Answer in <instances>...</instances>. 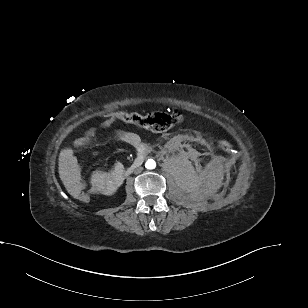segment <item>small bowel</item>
Here are the masks:
<instances>
[{
  "mask_svg": "<svg viewBox=\"0 0 308 308\" xmlns=\"http://www.w3.org/2000/svg\"><path fill=\"white\" fill-rule=\"evenodd\" d=\"M115 119L116 115L112 114L103 121L102 126L109 127ZM93 134L94 130L90 129L84 136L75 141V146L88 144L92 140ZM116 137L120 141L138 149L142 148L145 144L138 134L131 131H118ZM59 165L68 191L73 196L80 191H87L91 194L110 195L119 187L123 180V165L117 163L110 171H94L87 185L82 179L80 164L72 148H64L61 150L59 154Z\"/></svg>",
  "mask_w": 308,
  "mask_h": 308,
  "instance_id": "c3829d8e",
  "label": "small bowel"
}]
</instances>
